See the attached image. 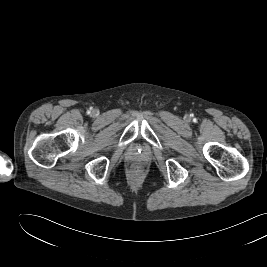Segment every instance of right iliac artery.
I'll return each mask as SVG.
<instances>
[{"instance_id":"1","label":"right iliac artery","mask_w":267,"mask_h":267,"mask_svg":"<svg viewBox=\"0 0 267 267\" xmlns=\"http://www.w3.org/2000/svg\"><path fill=\"white\" fill-rule=\"evenodd\" d=\"M91 111H92V108H90V109L88 110V113L90 114V113H91Z\"/></svg>"}]
</instances>
